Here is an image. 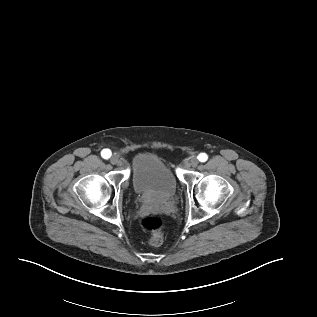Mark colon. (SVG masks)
I'll use <instances>...</instances> for the list:
<instances>
[{"label": "colon", "instance_id": "5ec220e1", "mask_svg": "<svg viewBox=\"0 0 317 317\" xmlns=\"http://www.w3.org/2000/svg\"><path fill=\"white\" fill-rule=\"evenodd\" d=\"M142 225L151 234L148 244L154 247L160 246L163 242V221L158 217L148 216L143 219Z\"/></svg>", "mask_w": 317, "mask_h": 317}]
</instances>
